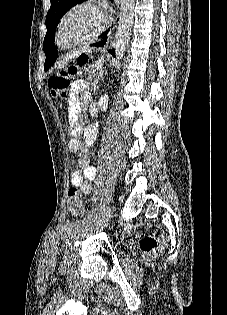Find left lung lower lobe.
I'll return each instance as SVG.
<instances>
[{"mask_svg": "<svg viewBox=\"0 0 227 315\" xmlns=\"http://www.w3.org/2000/svg\"><path fill=\"white\" fill-rule=\"evenodd\" d=\"M110 31V29L106 30L105 32H103L101 34V40L97 43H94V44H91V46H95V47H103L106 45V42H107V34L108 32ZM109 52L115 56V52L114 50H109ZM45 54H46V61H45V66H44V69L45 70H48L52 64L55 62V60L57 59V56H58V52L56 50V47L54 44H51L47 50L45 51Z\"/></svg>", "mask_w": 227, "mask_h": 315, "instance_id": "obj_1", "label": "left lung lower lobe"}]
</instances>
